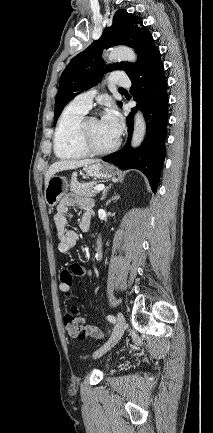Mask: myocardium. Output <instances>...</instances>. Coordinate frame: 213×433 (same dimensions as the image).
<instances>
[{
    "instance_id": "obj_1",
    "label": "myocardium",
    "mask_w": 213,
    "mask_h": 433,
    "mask_svg": "<svg viewBox=\"0 0 213 433\" xmlns=\"http://www.w3.org/2000/svg\"><path fill=\"white\" fill-rule=\"evenodd\" d=\"M92 119H98L95 116H86L80 122L78 128V140L81 147L88 153L93 155H105L115 151L120 144V139L117 138L114 144H112L108 148L100 149L93 145L90 140L89 132H88V124Z\"/></svg>"
}]
</instances>
